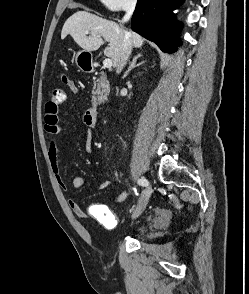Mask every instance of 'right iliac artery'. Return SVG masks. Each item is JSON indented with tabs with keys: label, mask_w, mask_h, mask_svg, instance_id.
<instances>
[{
	"label": "right iliac artery",
	"mask_w": 249,
	"mask_h": 294,
	"mask_svg": "<svg viewBox=\"0 0 249 294\" xmlns=\"http://www.w3.org/2000/svg\"><path fill=\"white\" fill-rule=\"evenodd\" d=\"M137 183L141 186H148V181L144 178L138 179Z\"/></svg>",
	"instance_id": "1"
}]
</instances>
